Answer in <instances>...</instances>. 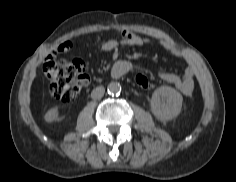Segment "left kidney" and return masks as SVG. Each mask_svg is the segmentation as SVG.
<instances>
[{"label": "left kidney", "instance_id": "left-kidney-1", "mask_svg": "<svg viewBox=\"0 0 236 182\" xmlns=\"http://www.w3.org/2000/svg\"><path fill=\"white\" fill-rule=\"evenodd\" d=\"M182 103L183 97L177 90L161 86L153 92L150 107L158 120L169 121L181 113Z\"/></svg>", "mask_w": 236, "mask_h": 182}]
</instances>
